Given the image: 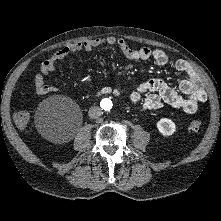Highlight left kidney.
Returning <instances> with one entry per match:
<instances>
[{"label": "left kidney", "instance_id": "obj_1", "mask_svg": "<svg viewBox=\"0 0 221 221\" xmlns=\"http://www.w3.org/2000/svg\"><path fill=\"white\" fill-rule=\"evenodd\" d=\"M157 128L163 136L172 135L176 131L175 123L168 118H161L157 122Z\"/></svg>", "mask_w": 221, "mask_h": 221}]
</instances>
